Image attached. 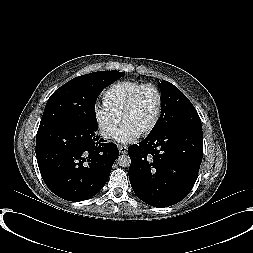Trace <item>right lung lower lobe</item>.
<instances>
[{
	"instance_id": "right-lung-lower-lobe-1",
	"label": "right lung lower lobe",
	"mask_w": 253,
	"mask_h": 253,
	"mask_svg": "<svg viewBox=\"0 0 253 253\" xmlns=\"http://www.w3.org/2000/svg\"><path fill=\"white\" fill-rule=\"evenodd\" d=\"M96 130L75 123L37 133L36 157L41 176L60 198L89 199L107 182L119 150L113 143H103Z\"/></svg>"
}]
</instances>
